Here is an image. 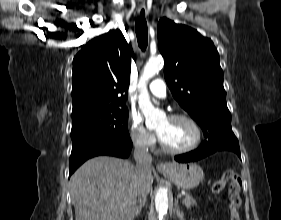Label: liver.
<instances>
[{
  "label": "liver",
  "instance_id": "obj_1",
  "mask_svg": "<svg viewBox=\"0 0 281 220\" xmlns=\"http://www.w3.org/2000/svg\"><path fill=\"white\" fill-rule=\"evenodd\" d=\"M136 180V166L129 161L108 156L86 161L70 179L76 220H133ZM149 180L152 186V175Z\"/></svg>",
  "mask_w": 281,
  "mask_h": 220
}]
</instances>
